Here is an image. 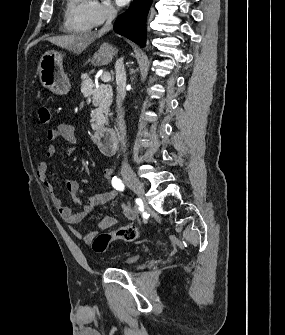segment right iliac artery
I'll use <instances>...</instances> for the list:
<instances>
[{
  "label": "right iliac artery",
  "instance_id": "1",
  "mask_svg": "<svg viewBox=\"0 0 285 335\" xmlns=\"http://www.w3.org/2000/svg\"><path fill=\"white\" fill-rule=\"evenodd\" d=\"M112 186L119 191H123L124 189V184L122 183V181L117 178L116 176L112 178Z\"/></svg>",
  "mask_w": 285,
  "mask_h": 335
}]
</instances>
